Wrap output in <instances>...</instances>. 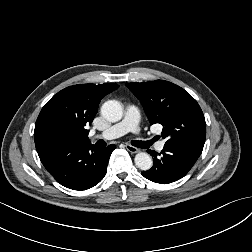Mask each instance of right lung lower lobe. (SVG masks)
Listing matches in <instances>:
<instances>
[{
	"label": "right lung lower lobe",
	"mask_w": 252,
	"mask_h": 252,
	"mask_svg": "<svg viewBox=\"0 0 252 252\" xmlns=\"http://www.w3.org/2000/svg\"><path fill=\"white\" fill-rule=\"evenodd\" d=\"M114 149L115 145L99 148L90 143L65 141L38 155L58 183L73 190H86L103 179Z\"/></svg>",
	"instance_id": "1"
}]
</instances>
